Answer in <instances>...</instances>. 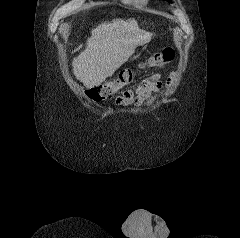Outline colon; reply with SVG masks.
<instances>
[{"label": "colon", "mask_w": 240, "mask_h": 238, "mask_svg": "<svg viewBox=\"0 0 240 238\" xmlns=\"http://www.w3.org/2000/svg\"><path fill=\"white\" fill-rule=\"evenodd\" d=\"M175 53L172 48H165L162 51L153 54L145 63L147 67H161L170 63L174 59ZM134 78L131 70L121 71L113 81L91 87L86 90V95L94 101H101L110 98L113 94L120 91L123 87L129 85Z\"/></svg>", "instance_id": "1"}]
</instances>
